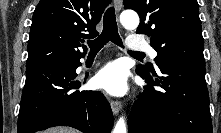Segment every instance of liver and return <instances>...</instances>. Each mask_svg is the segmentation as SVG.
I'll list each match as a JSON object with an SVG mask.
<instances>
[{"mask_svg": "<svg viewBox=\"0 0 221 133\" xmlns=\"http://www.w3.org/2000/svg\"><path fill=\"white\" fill-rule=\"evenodd\" d=\"M45 133H78L74 129L66 128V127H56L46 130Z\"/></svg>", "mask_w": 221, "mask_h": 133, "instance_id": "liver-1", "label": "liver"}]
</instances>
